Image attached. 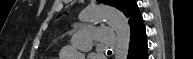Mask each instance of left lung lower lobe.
<instances>
[{
    "label": "left lung lower lobe",
    "mask_w": 193,
    "mask_h": 59,
    "mask_svg": "<svg viewBox=\"0 0 193 59\" xmlns=\"http://www.w3.org/2000/svg\"><path fill=\"white\" fill-rule=\"evenodd\" d=\"M128 22L131 27V38L127 59H148L146 31L140 12H134Z\"/></svg>",
    "instance_id": "1"
}]
</instances>
